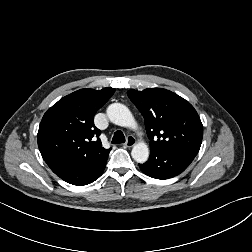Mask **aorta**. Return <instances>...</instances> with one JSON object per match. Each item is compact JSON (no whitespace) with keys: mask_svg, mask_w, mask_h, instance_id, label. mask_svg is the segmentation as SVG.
Masks as SVG:
<instances>
[{"mask_svg":"<svg viewBox=\"0 0 252 252\" xmlns=\"http://www.w3.org/2000/svg\"><path fill=\"white\" fill-rule=\"evenodd\" d=\"M107 115L110 121L118 126L135 128L136 122L130 110L123 104L113 103L107 108ZM132 158L138 163H144L149 157V148L144 142L133 146Z\"/></svg>","mask_w":252,"mask_h":252,"instance_id":"aorta-1","label":"aorta"}]
</instances>
